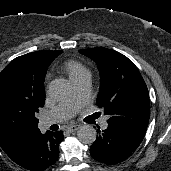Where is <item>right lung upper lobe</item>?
<instances>
[{
    "label": "right lung upper lobe",
    "mask_w": 171,
    "mask_h": 171,
    "mask_svg": "<svg viewBox=\"0 0 171 171\" xmlns=\"http://www.w3.org/2000/svg\"><path fill=\"white\" fill-rule=\"evenodd\" d=\"M62 53V51H36L15 58L19 62L24 72L31 78L33 85L43 89V83L48 66ZM45 92V91H44ZM40 130L33 133L30 137L24 139H9L0 137V146L4 152L12 159H16L24 149L29 145Z\"/></svg>",
    "instance_id": "right-lung-upper-lobe-1"
}]
</instances>
